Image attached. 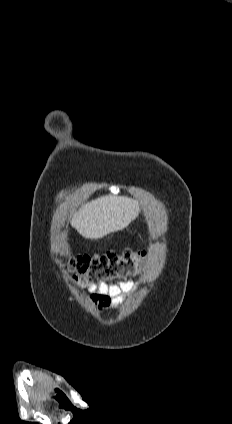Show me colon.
<instances>
[{"label": "colon", "instance_id": "1", "mask_svg": "<svg viewBox=\"0 0 232 424\" xmlns=\"http://www.w3.org/2000/svg\"><path fill=\"white\" fill-rule=\"evenodd\" d=\"M145 260V252L127 248L120 253L109 250L103 253L72 256L67 259L66 266L76 283L90 286L135 276Z\"/></svg>", "mask_w": 232, "mask_h": 424}]
</instances>
